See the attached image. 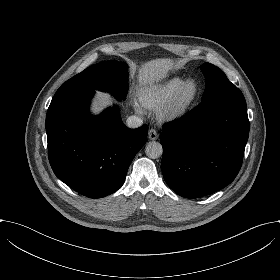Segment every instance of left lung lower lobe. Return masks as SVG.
Listing matches in <instances>:
<instances>
[{
    "instance_id": "0a47b994",
    "label": "left lung lower lobe",
    "mask_w": 280,
    "mask_h": 280,
    "mask_svg": "<svg viewBox=\"0 0 280 280\" xmlns=\"http://www.w3.org/2000/svg\"><path fill=\"white\" fill-rule=\"evenodd\" d=\"M248 136L247 106L239 89L201 102L163 126L161 169L166 183L185 198L222 189L241 168Z\"/></svg>"
}]
</instances>
